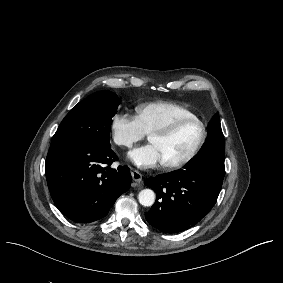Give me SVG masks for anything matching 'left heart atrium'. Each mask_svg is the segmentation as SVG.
Returning a JSON list of instances; mask_svg holds the SVG:
<instances>
[{"mask_svg": "<svg viewBox=\"0 0 283 283\" xmlns=\"http://www.w3.org/2000/svg\"><path fill=\"white\" fill-rule=\"evenodd\" d=\"M129 160L143 170L155 169L165 164L161 149L155 144H149L128 153Z\"/></svg>", "mask_w": 283, "mask_h": 283, "instance_id": "obj_1", "label": "left heart atrium"}]
</instances>
